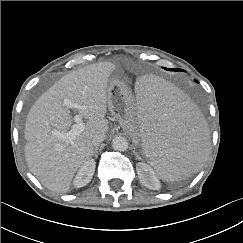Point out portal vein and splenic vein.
<instances>
[{
    "label": "portal vein and splenic vein",
    "instance_id": "obj_1",
    "mask_svg": "<svg viewBox=\"0 0 243 243\" xmlns=\"http://www.w3.org/2000/svg\"><path fill=\"white\" fill-rule=\"evenodd\" d=\"M63 105L68 108H78V104L73 103L70 99H65ZM75 124L72 128L66 132H55L54 134L64 140L69 142L73 141L77 136H79L85 130V124L82 122V117L80 115L74 116Z\"/></svg>",
    "mask_w": 243,
    "mask_h": 243
}]
</instances>
